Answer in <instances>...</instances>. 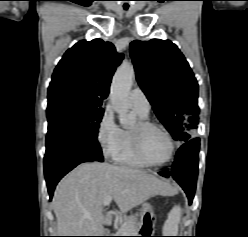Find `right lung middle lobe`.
Returning <instances> with one entry per match:
<instances>
[{
	"instance_id": "1",
	"label": "right lung middle lobe",
	"mask_w": 248,
	"mask_h": 237,
	"mask_svg": "<svg viewBox=\"0 0 248 237\" xmlns=\"http://www.w3.org/2000/svg\"><path fill=\"white\" fill-rule=\"evenodd\" d=\"M104 110L101 104L71 98L48 102V134L63 133L97 139Z\"/></svg>"
}]
</instances>
